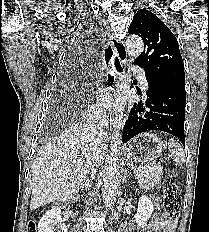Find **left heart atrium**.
<instances>
[{"mask_svg": "<svg viewBox=\"0 0 209 232\" xmlns=\"http://www.w3.org/2000/svg\"><path fill=\"white\" fill-rule=\"evenodd\" d=\"M98 105L101 109L107 110L112 105V95L108 89H101L97 93Z\"/></svg>", "mask_w": 209, "mask_h": 232, "instance_id": "left-heart-atrium-1", "label": "left heart atrium"}]
</instances>
